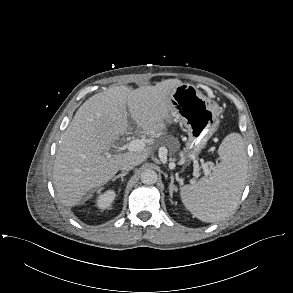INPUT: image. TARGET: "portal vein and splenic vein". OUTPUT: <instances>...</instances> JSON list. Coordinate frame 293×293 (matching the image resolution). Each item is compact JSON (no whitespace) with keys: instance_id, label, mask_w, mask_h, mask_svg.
<instances>
[{"instance_id":"obj_1","label":"portal vein and splenic vein","mask_w":293,"mask_h":293,"mask_svg":"<svg viewBox=\"0 0 293 293\" xmlns=\"http://www.w3.org/2000/svg\"><path fill=\"white\" fill-rule=\"evenodd\" d=\"M144 148H145V143L139 139L132 140L126 145V149L129 151H140V150H143ZM171 168H174L173 163H172ZM197 168H198V165H197V163H195V177L199 176ZM202 168L204 170L205 175H208L209 174L208 164L203 163Z\"/></svg>"}]
</instances>
